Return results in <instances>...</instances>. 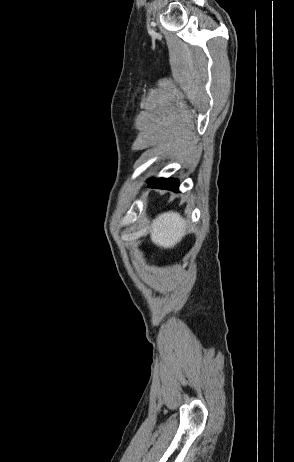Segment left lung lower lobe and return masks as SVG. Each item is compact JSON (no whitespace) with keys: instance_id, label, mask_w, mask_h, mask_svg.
I'll use <instances>...</instances> for the list:
<instances>
[{"instance_id":"0a47b994","label":"left lung lower lobe","mask_w":294,"mask_h":462,"mask_svg":"<svg viewBox=\"0 0 294 462\" xmlns=\"http://www.w3.org/2000/svg\"><path fill=\"white\" fill-rule=\"evenodd\" d=\"M178 185H179V182L176 179H173V178H169V179L159 178V179H151L149 181V186L148 187L166 189V190H171L173 192H178Z\"/></svg>"}]
</instances>
